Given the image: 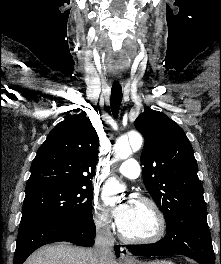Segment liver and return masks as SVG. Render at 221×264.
Masks as SVG:
<instances>
[{
    "label": "liver",
    "mask_w": 221,
    "mask_h": 264,
    "mask_svg": "<svg viewBox=\"0 0 221 264\" xmlns=\"http://www.w3.org/2000/svg\"><path fill=\"white\" fill-rule=\"evenodd\" d=\"M24 264H99L94 249L74 247L67 244L44 246L34 252ZM107 264H118L110 258Z\"/></svg>",
    "instance_id": "liver-1"
}]
</instances>
